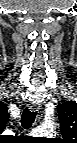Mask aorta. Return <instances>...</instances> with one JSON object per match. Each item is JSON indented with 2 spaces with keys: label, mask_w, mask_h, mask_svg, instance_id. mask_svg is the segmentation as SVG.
Wrapping results in <instances>:
<instances>
[{
  "label": "aorta",
  "mask_w": 77,
  "mask_h": 143,
  "mask_svg": "<svg viewBox=\"0 0 77 143\" xmlns=\"http://www.w3.org/2000/svg\"><path fill=\"white\" fill-rule=\"evenodd\" d=\"M34 133L39 136H52L54 133L53 124L45 123L35 129Z\"/></svg>",
  "instance_id": "obj_1"
}]
</instances>
